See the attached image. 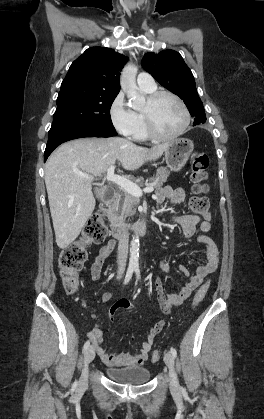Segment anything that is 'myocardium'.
Listing matches in <instances>:
<instances>
[{"mask_svg": "<svg viewBox=\"0 0 264 419\" xmlns=\"http://www.w3.org/2000/svg\"><path fill=\"white\" fill-rule=\"evenodd\" d=\"M163 96L172 97L179 104L184 115V122H183L182 127L180 128L178 132L172 135H164L159 132L156 126L154 115H153L154 105ZM143 115L145 118L146 128H147L149 137L154 140L162 141V142L173 141L179 138L180 136H182L186 132L187 128L189 127L190 119H191L189 109L187 105L185 104V102L183 101V99L176 93L169 90H156L152 92L151 94H149L147 98L146 106L143 109Z\"/></svg>", "mask_w": 264, "mask_h": 419, "instance_id": "f54148a6", "label": "myocardium"}]
</instances>
